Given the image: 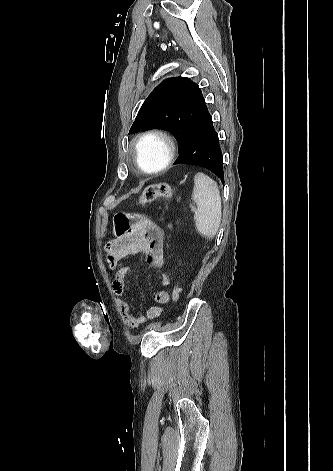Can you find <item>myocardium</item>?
I'll list each match as a JSON object with an SVG mask.
<instances>
[{
    "instance_id": "1",
    "label": "myocardium",
    "mask_w": 333,
    "mask_h": 471,
    "mask_svg": "<svg viewBox=\"0 0 333 471\" xmlns=\"http://www.w3.org/2000/svg\"><path fill=\"white\" fill-rule=\"evenodd\" d=\"M148 139H158L160 140L164 147H165V150H166V155H165V158L163 160V162L156 168L154 169H146L142 164H141V161H140V158H139V148L141 146V144L148 140ZM175 151H176V146H175V142L173 140V138L165 131L163 130H160V129H150V130H147L143 133H141L140 135H138L134 142H133V145H132V153H133V161H134V164L135 166L140 170L142 171L143 173H146V174H157L163 170H165L169 165L170 163L172 162L173 158H174V155H175Z\"/></svg>"
}]
</instances>
